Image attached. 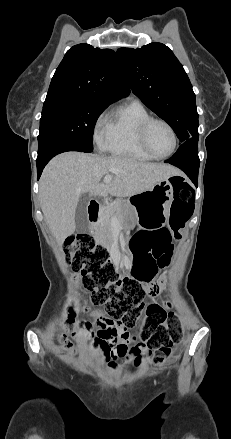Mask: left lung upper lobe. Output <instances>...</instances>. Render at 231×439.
Returning <instances> with one entry per match:
<instances>
[{
	"mask_svg": "<svg viewBox=\"0 0 231 439\" xmlns=\"http://www.w3.org/2000/svg\"><path fill=\"white\" fill-rule=\"evenodd\" d=\"M117 57L133 93L174 130L180 144L198 137V113L190 80L164 44L120 48Z\"/></svg>",
	"mask_w": 231,
	"mask_h": 439,
	"instance_id": "1",
	"label": "left lung upper lobe"
}]
</instances>
